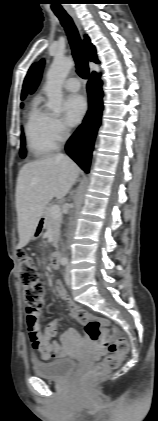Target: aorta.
Returning a JSON list of instances; mask_svg holds the SVG:
<instances>
[{"label":"aorta","instance_id":"aorta-1","mask_svg":"<svg viewBox=\"0 0 158 421\" xmlns=\"http://www.w3.org/2000/svg\"><path fill=\"white\" fill-rule=\"evenodd\" d=\"M74 66V62L67 58H55L47 72L45 92L48 96V108L55 113L61 111L63 99L62 85Z\"/></svg>","mask_w":158,"mask_h":421}]
</instances>
